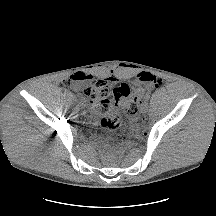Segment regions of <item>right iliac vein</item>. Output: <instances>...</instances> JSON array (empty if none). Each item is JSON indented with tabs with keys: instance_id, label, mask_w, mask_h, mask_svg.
Masks as SVG:
<instances>
[{
	"instance_id": "63e3f726",
	"label": "right iliac vein",
	"mask_w": 216,
	"mask_h": 216,
	"mask_svg": "<svg viewBox=\"0 0 216 216\" xmlns=\"http://www.w3.org/2000/svg\"><path fill=\"white\" fill-rule=\"evenodd\" d=\"M81 105H82V106H81V109H82V110H85V109H86L85 101H82V102H81Z\"/></svg>"
}]
</instances>
